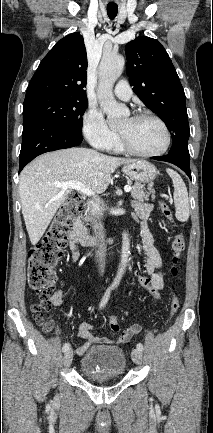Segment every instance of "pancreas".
<instances>
[{"mask_svg":"<svg viewBox=\"0 0 213 433\" xmlns=\"http://www.w3.org/2000/svg\"><path fill=\"white\" fill-rule=\"evenodd\" d=\"M153 187V184H149V186H148V191L149 192H147L146 190H145V188H144V186H142L141 184H139V183H135L133 186H132V190H131V196L134 198V199H137V200H139V201H144V200H149V196L151 195V198H152V200L155 198V196H154V189L152 188ZM87 219H88V217H85L84 218V220L85 221H87Z\"/></svg>","mask_w":213,"mask_h":433,"instance_id":"pancreas-1","label":"pancreas"}]
</instances>
